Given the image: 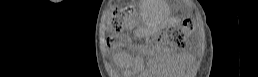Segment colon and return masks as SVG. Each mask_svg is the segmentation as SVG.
Returning a JSON list of instances; mask_svg holds the SVG:
<instances>
[{"label":"colon","mask_w":258,"mask_h":77,"mask_svg":"<svg viewBox=\"0 0 258 77\" xmlns=\"http://www.w3.org/2000/svg\"><path fill=\"white\" fill-rule=\"evenodd\" d=\"M125 21L131 22V16L127 10H116L108 23V32L119 33L123 30ZM192 25L189 21L182 25H174L169 27L163 34V41L179 45L185 38V32H191Z\"/></svg>","instance_id":"obj_1"}]
</instances>
